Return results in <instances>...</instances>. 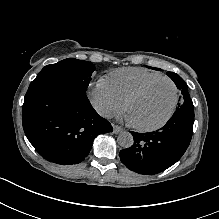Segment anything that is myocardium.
Masks as SVG:
<instances>
[{
    "label": "myocardium",
    "instance_id": "f54148a6",
    "mask_svg": "<svg viewBox=\"0 0 219 219\" xmlns=\"http://www.w3.org/2000/svg\"><path fill=\"white\" fill-rule=\"evenodd\" d=\"M160 81H168L169 83H171V85L173 86V90H174L173 100H172L167 112L165 113V115L161 121H159L158 123L152 124V125H139V124H136V123L131 121V125L135 129H138L141 131L156 130V129L164 126L168 122L170 117L172 116L174 109L177 105V101H178V88H177L176 84L174 83V81L166 76H162V77L153 79V80L145 83L144 85H142L136 91H134L124 102V111L128 115V108H129L130 104L133 101H135L136 99H138L140 96H142L149 88H151L153 85H155L156 83H158Z\"/></svg>",
    "mask_w": 219,
    "mask_h": 219
}]
</instances>
